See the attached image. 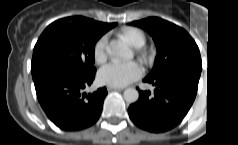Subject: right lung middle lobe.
I'll return each mask as SVG.
<instances>
[{
  "instance_id": "dd1d6c3e",
  "label": "right lung middle lobe",
  "mask_w": 238,
  "mask_h": 145,
  "mask_svg": "<svg viewBox=\"0 0 238 145\" xmlns=\"http://www.w3.org/2000/svg\"><path fill=\"white\" fill-rule=\"evenodd\" d=\"M103 34L88 18L73 16L59 19L39 37L31 66L59 63L85 73L95 71V43Z\"/></svg>"
}]
</instances>
